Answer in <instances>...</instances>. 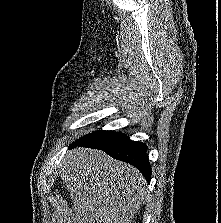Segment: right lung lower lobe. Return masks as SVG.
Listing matches in <instances>:
<instances>
[{
	"label": "right lung lower lobe",
	"instance_id": "98d812e1",
	"mask_svg": "<svg viewBox=\"0 0 221 223\" xmlns=\"http://www.w3.org/2000/svg\"><path fill=\"white\" fill-rule=\"evenodd\" d=\"M76 146L103 150L117 160L134 165L148 182L151 180V166L146 157V145L131 141L122 133L97 131L76 140L70 145L69 149Z\"/></svg>",
	"mask_w": 221,
	"mask_h": 223
}]
</instances>
